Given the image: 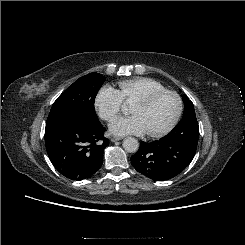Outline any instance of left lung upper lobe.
Segmentation results:
<instances>
[{"label":"left lung upper lobe","instance_id":"obj_1","mask_svg":"<svg viewBox=\"0 0 245 245\" xmlns=\"http://www.w3.org/2000/svg\"><path fill=\"white\" fill-rule=\"evenodd\" d=\"M184 102V115L177 126L166 136L170 141H185L197 144L199 138V126L195 115L193 103L186 95L182 96Z\"/></svg>","mask_w":245,"mask_h":245}]
</instances>
